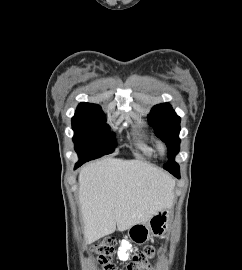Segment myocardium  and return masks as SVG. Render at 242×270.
Segmentation results:
<instances>
[{
    "label": "myocardium",
    "instance_id": "obj_1",
    "mask_svg": "<svg viewBox=\"0 0 242 270\" xmlns=\"http://www.w3.org/2000/svg\"><path fill=\"white\" fill-rule=\"evenodd\" d=\"M156 148L160 154H165L167 152L166 144L162 141L157 142Z\"/></svg>",
    "mask_w": 242,
    "mask_h": 270
}]
</instances>
